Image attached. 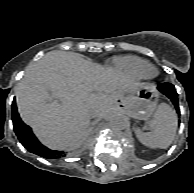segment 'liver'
Instances as JSON below:
<instances>
[{
    "mask_svg": "<svg viewBox=\"0 0 194 193\" xmlns=\"http://www.w3.org/2000/svg\"><path fill=\"white\" fill-rule=\"evenodd\" d=\"M142 87L134 78L77 53L50 51L27 67L16 88L22 120L50 149L76 148L90 120L120 109Z\"/></svg>",
    "mask_w": 194,
    "mask_h": 193,
    "instance_id": "6515ba94",
    "label": "liver"
}]
</instances>
